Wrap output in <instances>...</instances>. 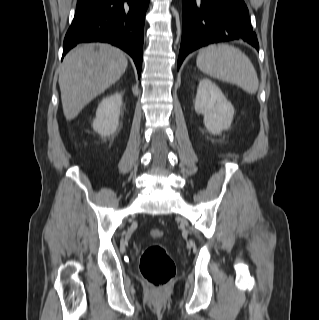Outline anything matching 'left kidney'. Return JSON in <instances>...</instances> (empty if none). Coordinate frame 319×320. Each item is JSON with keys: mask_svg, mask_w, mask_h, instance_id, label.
Here are the masks:
<instances>
[{"mask_svg": "<svg viewBox=\"0 0 319 320\" xmlns=\"http://www.w3.org/2000/svg\"><path fill=\"white\" fill-rule=\"evenodd\" d=\"M194 109L204 116L205 127L213 135L229 129L233 121L234 107L221 89L206 78L199 82Z\"/></svg>", "mask_w": 319, "mask_h": 320, "instance_id": "1", "label": "left kidney"}]
</instances>
